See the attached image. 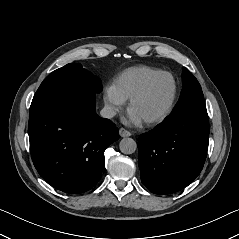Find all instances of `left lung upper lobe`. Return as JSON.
Returning a JSON list of instances; mask_svg holds the SVG:
<instances>
[{
  "label": "left lung upper lobe",
  "mask_w": 239,
  "mask_h": 239,
  "mask_svg": "<svg viewBox=\"0 0 239 239\" xmlns=\"http://www.w3.org/2000/svg\"><path fill=\"white\" fill-rule=\"evenodd\" d=\"M182 82L183 87L180 98L166 120L173 119L190 109H206L201 86L197 79L185 67L183 68Z\"/></svg>",
  "instance_id": "5c2ea615"
}]
</instances>
